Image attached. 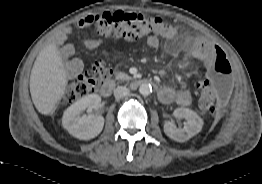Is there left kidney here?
I'll use <instances>...</instances> for the list:
<instances>
[{
  "mask_svg": "<svg viewBox=\"0 0 262 184\" xmlns=\"http://www.w3.org/2000/svg\"><path fill=\"white\" fill-rule=\"evenodd\" d=\"M173 114L175 117L185 118L187 120V125L182 129H178L173 122H165L164 132L170 139L178 142H185L202 130L204 122L196 112L181 107L175 109Z\"/></svg>",
  "mask_w": 262,
  "mask_h": 184,
  "instance_id": "left-kidney-1",
  "label": "left kidney"
}]
</instances>
